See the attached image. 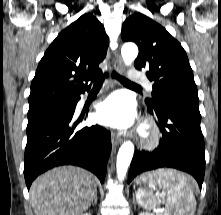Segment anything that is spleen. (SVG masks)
Here are the masks:
<instances>
[{"label": "spleen", "instance_id": "1", "mask_svg": "<svg viewBox=\"0 0 221 215\" xmlns=\"http://www.w3.org/2000/svg\"><path fill=\"white\" fill-rule=\"evenodd\" d=\"M141 175L140 177H143ZM139 177V178H140ZM151 177V176H150ZM138 184V182L136 181ZM155 185L163 189L164 201L160 199L161 194L157 191L138 189L136 199L140 206L146 210L158 208L164 202L174 215H193L196 208V199L193 193L195 181L185 174L173 170H162ZM155 185H151L153 188Z\"/></svg>", "mask_w": 221, "mask_h": 215}]
</instances>
